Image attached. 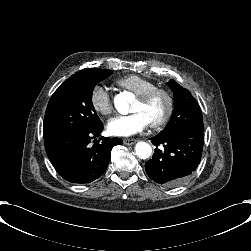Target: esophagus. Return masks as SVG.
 Masks as SVG:
<instances>
[{"instance_id":"34e87169","label":"esophagus","mask_w":251,"mask_h":251,"mask_svg":"<svg viewBox=\"0 0 251 251\" xmlns=\"http://www.w3.org/2000/svg\"><path fill=\"white\" fill-rule=\"evenodd\" d=\"M136 142H137L136 139H124L125 145H132V144H135Z\"/></svg>"}]
</instances>
